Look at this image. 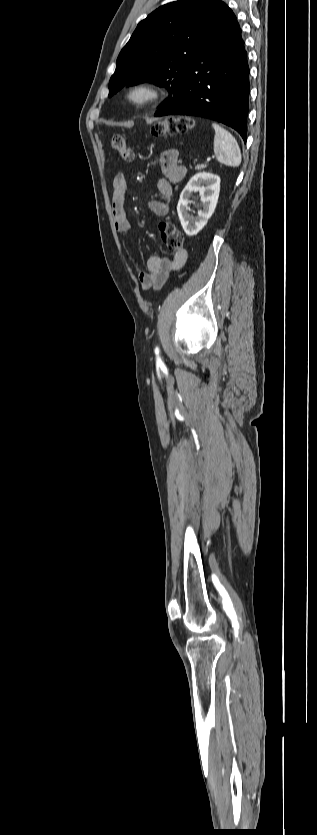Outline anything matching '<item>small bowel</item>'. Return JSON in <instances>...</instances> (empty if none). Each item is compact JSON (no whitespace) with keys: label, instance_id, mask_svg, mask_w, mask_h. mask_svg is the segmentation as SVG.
<instances>
[{"label":"small bowel","instance_id":"c3829d8e","mask_svg":"<svg viewBox=\"0 0 317 835\" xmlns=\"http://www.w3.org/2000/svg\"><path fill=\"white\" fill-rule=\"evenodd\" d=\"M160 165L164 177L159 179L157 189L160 200L149 202V209L158 217L168 214L169 203L173 195V184L182 181L186 174V167L178 161V151L175 149L165 150L160 156ZM126 176L124 173H117L112 181L111 214L113 224L117 232L128 234L130 222L125 212ZM188 258L186 249L177 250L172 258L151 256L147 261V270L138 275V280L143 289H159L166 281L170 272L182 268Z\"/></svg>","mask_w":317,"mask_h":835}]
</instances>
